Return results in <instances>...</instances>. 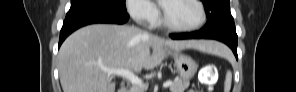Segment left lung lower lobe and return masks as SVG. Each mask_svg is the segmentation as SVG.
Returning <instances> with one entry per match:
<instances>
[{
  "label": "left lung lower lobe",
  "instance_id": "0a47b994",
  "mask_svg": "<svg viewBox=\"0 0 296 92\" xmlns=\"http://www.w3.org/2000/svg\"><path fill=\"white\" fill-rule=\"evenodd\" d=\"M170 37L172 39H215L227 44L237 56V34L236 30H221L214 33H205L202 30L192 32V33H179V34H171Z\"/></svg>",
  "mask_w": 296,
  "mask_h": 92
}]
</instances>
